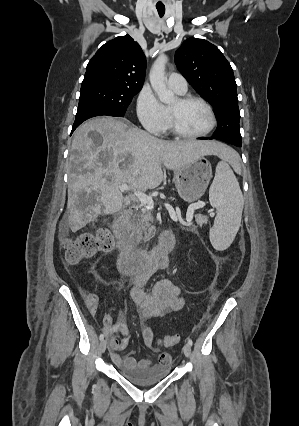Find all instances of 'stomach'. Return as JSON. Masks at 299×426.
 Segmentation results:
<instances>
[{"instance_id":"1","label":"stomach","mask_w":299,"mask_h":426,"mask_svg":"<svg viewBox=\"0 0 299 426\" xmlns=\"http://www.w3.org/2000/svg\"><path fill=\"white\" fill-rule=\"evenodd\" d=\"M211 178L212 167L204 156L174 171L176 189L186 202L198 200L205 193Z\"/></svg>"}]
</instances>
